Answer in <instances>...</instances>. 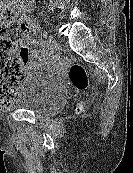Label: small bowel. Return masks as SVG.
Here are the masks:
<instances>
[{"mask_svg": "<svg viewBox=\"0 0 133 173\" xmlns=\"http://www.w3.org/2000/svg\"><path fill=\"white\" fill-rule=\"evenodd\" d=\"M29 23H30V34L35 35L39 31L40 26L35 21H30ZM26 43H27V45H31L34 47L38 46V44H39V42L36 39L32 38L31 36H28L26 38ZM47 59H48V55L45 50H35L31 53V55H28L26 57V59L23 61V64L32 66L35 63V61L44 62Z\"/></svg>", "mask_w": 133, "mask_h": 173, "instance_id": "c3829d8e", "label": "small bowel"}]
</instances>
